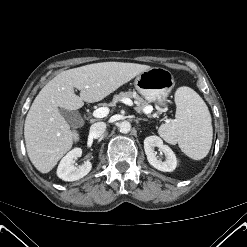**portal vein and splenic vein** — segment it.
<instances>
[{"mask_svg":"<svg viewBox=\"0 0 247 247\" xmlns=\"http://www.w3.org/2000/svg\"><path fill=\"white\" fill-rule=\"evenodd\" d=\"M121 102L128 105V106H133V102L129 98H123V99H121ZM109 111L110 110L107 107H100V108L93 111V116L95 118H103L109 114ZM151 111H152L151 107L148 110L144 109V113H146V114L150 113Z\"/></svg>","mask_w":247,"mask_h":247,"instance_id":"1","label":"portal vein and splenic vein"}]
</instances>
